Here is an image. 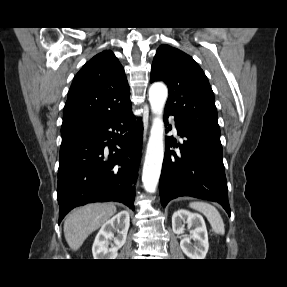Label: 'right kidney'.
Masks as SVG:
<instances>
[{
  "label": "right kidney",
  "instance_id": "obj_1",
  "mask_svg": "<svg viewBox=\"0 0 287 287\" xmlns=\"http://www.w3.org/2000/svg\"><path fill=\"white\" fill-rule=\"evenodd\" d=\"M129 225L130 216L127 211L119 212L103 224L92 246L94 259H116L118 250L126 242ZM113 231L117 233L116 236Z\"/></svg>",
  "mask_w": 287,
  "mask_h": 287
}]
</instances>
